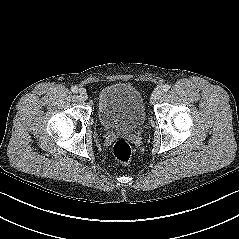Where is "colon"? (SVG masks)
Masks as SVG:
<instances>
[{
  "label": "colon",
  "instance_id": "5ec220e1",
  "mask_svg": "<svg viewBox=\"0 0 239 239\" xmlns=\"http://www.w3.org/2000/svg\"><path fill=\"white\" fill-rule=\"evenodd\" d=\"M112 153L118 161L127 163L132 157V148L126 140L119 139L114 143Z\"/></svg>",
  "mask_w": 239,
  "mask_h": 239
}]
</instances>
